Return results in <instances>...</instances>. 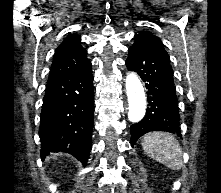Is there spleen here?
Wrapping results in <instances>:
<instances>
[{
  "mask_svg": "<svg viewBox=\"0 0 221 193\" xmlns=\"http://www.w3.org/2000/svg\"><path fill=\"white\" fill-rule=\"evenodd\" d=\"M141 145L149 157L168 168L172 170L182 168V148L172 134L149 132L143 137Z\"/></svg>",
  "mask_w": 221,
  "mask_h": 193,
  "instance_id": "1",
  "label": "spleen"
}]
</instances>
